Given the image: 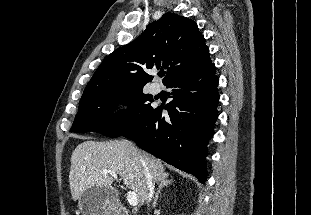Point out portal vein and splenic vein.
I'll use <instances>...</instances> for the list:
<instances>
[{
	"label": "portal vein and splenic vein",
	"mask_w": 311,
	"mask_h": 215,
	"mask_svg": "<svg viewBox=\"0 0 311 215\" xmlns=\"http://www.w3.org/2000/svg\"><path fill=\"white\" fill-rule=\"evenodd\" d=\"M103 173L104 174H110L116 181H118L117 174H115L114 172L105 169V170H103ZM127 201L131 206H137V204H138L137 196L134 192H128L127 193Z\"/></svg>",
	"instance_id": "obj_1"
}]
</instances>
